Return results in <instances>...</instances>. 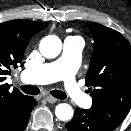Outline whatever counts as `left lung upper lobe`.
I'll return each mask as SVG.
<instances>
[{
  "label": "left lung upper lobe",
  "mask_w": 131,
  "mask_h": 131,
  "mask_svg": "<svg viewBox=\"0 0 131 131\" xmlns=\"http://www.w3.org/2000/svg\"><path fill=\"white\" fill-rule=\"evenodd\" d=\"M94 50L86 75L93 99L90 110L117 128L131 108V47L117 31L89 23Z\"/></svg>",
  "instance_id": "obj_1"
}]
</instances>
